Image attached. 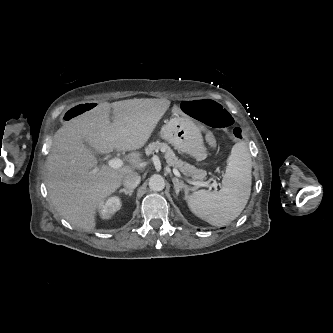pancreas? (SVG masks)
Segmentation results:
<instances>
[{"label": "pancreas", "instance_id": "obj_1", "mask_svg": "<svg viewBox=\"0 0 333 333\" xmlns=\"http://www.w3.org/2000/svg\"><path fill=\"white\" fill-rule=\"evenodd\" d=\"M158 150L164 152V158L166 159L168 166L178 169L185 176L191 177L194 181H202L206 178L207 173L205 170L198 169L189 163L178 159L166 143L159 141L152 142L146 147L145 153L151 155Z\"/></svg>", "mask_w": 333, "mask_h": 333}]
</instances>
